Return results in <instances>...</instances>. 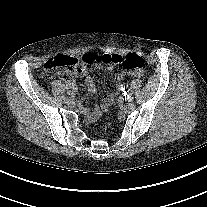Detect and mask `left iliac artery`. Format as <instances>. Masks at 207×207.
I'll return each instance as SVG.
<instances>
[{
	"label": "left iliac artery",
	"mask_w": 207,
	"mask_h": 207,
	"mask_svg": "<svg viewBox=\"0 0 207 207\" xmlns=\"http://www.w3.org/2000/svg\"><path fill=\"white\" fill-rule=\"evenodd\" d=\"M134 95V92L132 91V90H129L128 92H127V94H126V97L127 98H130V97H132Z\"/></svg>",
	"instance_id": "obj_1"
}]
</instances>
